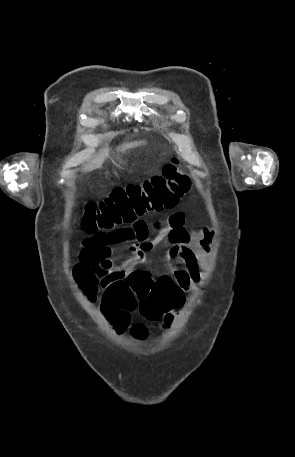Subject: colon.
Masks as SVG:
<instances>
[{
    "instance_id": "colon-1",
    "label": "colon",
    "mask_w": 295,
    "mask_h": 457,
    "mask_svg": "<svg viewBox=\"0 0 295 457\" xmlns=\"http://www.w3.org/2000/svg\"><path fill=\"white\" fill-rule=\"evenodd\" d=\"M189 188V177L179 171L174 159L160 174L140 184L117 187L103 200L87 203L80 219L81 226L88 233L130 226L150 212L175 207ZM73 274L89 296L94 295L98 279H101L105 285L102 310L119 330L129 326L130 314L138 304L146 319L164 318L166 322L171 319V310L178 306L176 286L168 277L154 281L151 274L141 270L131 271L126 276L111 261L102 264L79 261L73 267ZM132 331L136 337L146 336L141 325L134 326Z\"/></svg>"
}]
</instances>
